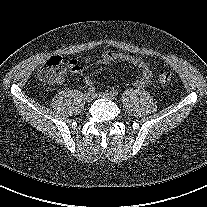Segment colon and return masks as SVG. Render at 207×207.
Returning a JSON list of instances; mask_svg holds the SVG:
<instances>
[{"mask_svg":"<svg viewBox=\"0 0 207 207\" xmlns=\"http://www.w3.org/2000/svg\"><path fill=\"white\" fill-rule=\"evenodd\" d=\"M67 68L69 65L60 56H53L39 70L38 78L44 84H54ZM157 78L161 84H169L172 79L170 72L162 69L157 71Z\"/></svg>","mask_w":207,"mask_h":207,"instance_id":"5ec220e1","label":"colon"}]
</instances>
